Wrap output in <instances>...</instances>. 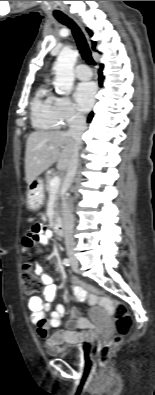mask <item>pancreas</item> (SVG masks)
I'll list each match as a JSON object with an SVG mask.
<instances>
[{"label":"pancreas","mask_w":155,"mask_h":395,"mask_svg":"<svg viewBox=\"0 0 155 395\" xmlns=\"http://www.w3.org/2000/svg\"><path fill=\"white\" fill-rule=\"evenodd\" d=\"M52 178H53L52 175H51V174H48V173H47L46 176H45V179H46V186H45V189H46V191H47L48 193H50V191H51L50 182H51ZM60 197H61V191H60V189L58 188V190H57V192H56V196H55V206H56V207L59 206L58 201H59Z\"/></svg>","instance_id":"1"}]
</instances>
